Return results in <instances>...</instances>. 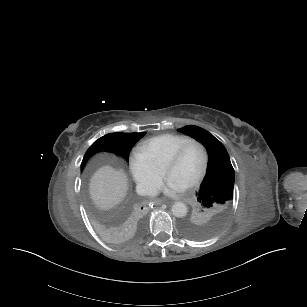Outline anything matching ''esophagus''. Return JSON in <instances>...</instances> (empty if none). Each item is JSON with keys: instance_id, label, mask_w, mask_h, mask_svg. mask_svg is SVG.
Returning <instances> with one entry per match:
<instances>
[{"instance_id": "esophagus-1", "label": "esophagus", "mask_w": 307, "mask_h": 307, "mask_svg": "<svg viewBox=\"0 0 307 307\" xmlns=\"http://www.w3.org/2000/svg\"><path fill=\"white\" fill-rule=\"evenodd\" d=\"M154 204L155 205H161V204H163V201L160 200V199H156V200H154Z\"/></svg>"}]
</instances>
